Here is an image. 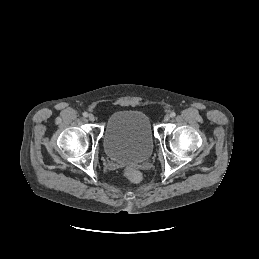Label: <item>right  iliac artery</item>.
Listing matches in <instances>:
<instances>
[{
    "label": "right iliac artery",
    "mask_w": 259,
    "mask_h": 259,
    "mask_svg": "<svg viewBox=\"0 0 259 259\" xmlns=\"http://www.w3.org/2000/svg\"><path fill=\"white\" fill-rule=\"evenodd\" d=\"M83 116H84V117H88V113H87V112H84V113H83Z\"/></svg>",
    "instance_id": "1"
}]
</instances>
